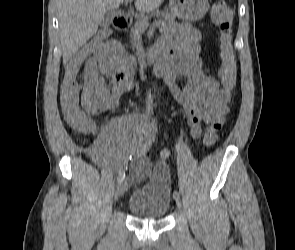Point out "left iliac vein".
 I'll return each instance as SVG.
<instances>
[{
  "label": "left iliac vein",
  "mask_w": 295,
  "mask_h": 250,
  "mask_svg": "<svg viewBox=\"0 0 295 250\" xmlns=\"http://www.w3.org/2000/svg\"><path fill=\"white\" fill-rule=\"evenodd\" d=\"M174 199H175V202H176L178 208H181L182 207V203H181L180 198L179 197H175Z\"/></svg>",
  "instance_id": "4c4485c4"
}]
</instances>
